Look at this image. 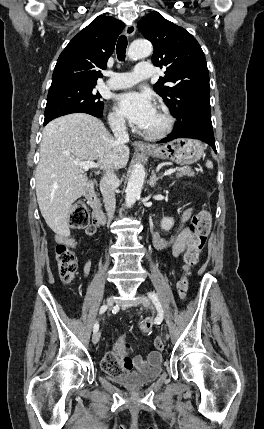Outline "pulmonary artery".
<instances>
[{
	"mask_svg": "<svg viewBox=\"0 0 264 429\" xmlns=\"http://www.w3.org/2000/svg\"><path fill=\"white\" fill-rule=\"evenodd\" d=\"M152 74V65L142 62L135 67L133 72H109L110 79L105 83V86L114 90L128 88L141 80L150 78Z\"/></svg>",
	"mask_w": 264,
	"mask_h": 429,
	"instance_id": "e3ab8cb5",
	"label": "pulmonary artery"
}]
</instances>
